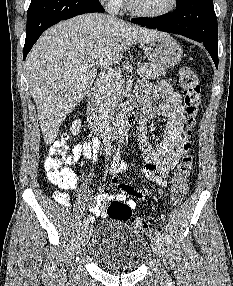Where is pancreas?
<instances>
[{
  "instance_id": "obj_1",
  "label": "pancreas",
  "mask_w": 233,
  "mask_h": 286,
  "mask_svg": "<svg viewBox=\"0 0 233 286\" xmlns=\"http://www.w3.org/2000/svg\"><path fill=\"white\" fill-rule=\"evenodd\" d=\"M140 69L143 70V74L140 75L142 80H154L160 76L166 74L164 68L153 65L151 63H144L139 66ZM121 80L114 79L110 82L109 87V97L112 104H116L117 100H119V93L121 91Z\"/></svg>"
}]
</instances>
